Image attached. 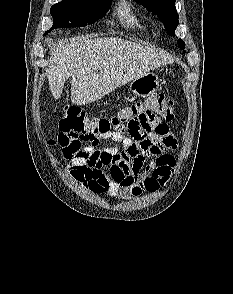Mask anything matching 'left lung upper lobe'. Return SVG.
<instances>
[{
    "label": "left lung upper lobe",
    "instance_id": "obj_1",
    "mask_svg": "<svg viewBox=\"0 0 233 294\" xmlns=\"http://www.w3.org/2000/svg\"><path fill=\"white\" fill-rule=\"evenodd\" d=\"M142 3L153 14L164 23L165 28L171 36H175V29L179 23L178 14L175 8V0H135ZM180 49H185V43L179 39L177 41ZM185 52V51H184Z\"/></svg>",
    "mask_w": 233,
    "mask_h": 294
}]
</instances>
